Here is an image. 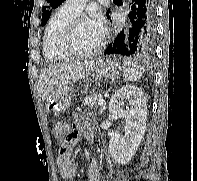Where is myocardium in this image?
I'll return each instance as SVG.
<instances>
[{"mask_svg": "<svg viewBox=\"0 0 197 181\" xmlns=\"http://www.w3.org/2000/svg\"><path fill=\"white\" fill-rule=\"evenodd\" d=\"M87 21V18L82 15L75 16L72 20L69 21L65 27L62 37H61V49L63 52L70 58H90L97 55L106 43V34L102 32L101 39L98 45L89 51H78L73 45L74 33L77 26Z\"/></svg>", "mask_w": 197, "mask_h": 181, "instance_id": "myocardium-1", "label": "myocardium"}]
</instances>
